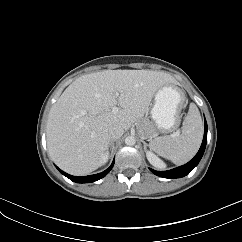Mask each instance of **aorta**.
<instances>
[{"label":"aorta","mask_w":242,"mask_h":242,"mask_svg":"<svg viewBox=\"0 0 242 242\" xmlns=\"http://www.w3.org/2000/svg\"><path fill=\"white\" fill-rule=\"evenodd\" d=\"M135 143H136V139H135L134 136H127V137L125 138V144H126V145H128V146H133V145H135Z\"/></svg>","instance_id":"aorta-1"}]
</instances>
